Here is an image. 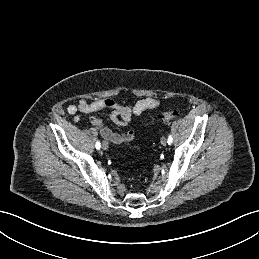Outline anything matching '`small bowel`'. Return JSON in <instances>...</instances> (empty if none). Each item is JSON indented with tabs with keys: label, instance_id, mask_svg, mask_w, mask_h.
I'll list each match as a JSON object with an SVG mask.
<instances>
[{
	"label": "small bowel",
	"instance_id": "1",
	"mask_svg": "<svg viewBox=\"0 0 259 259\" xmlns=\"http://www.w3.org/2000/svg\"><path fill=\"white\" fill-rule=\"evenodd\" d=\"M159 104V101L154 98H145L133 105H123L108 98L98 99L92 102L81 99L77 103L69 105L67 112L77 122L80 119L79 113L87 114L108 109L110 110V119L117 126L124 127L135 117L140 116L148 110L157 108ZM90 123L99 130L105 140L113 144L127 143L134 139V132L132 130H125L122 133L114 132L98 117H91Z\"/></svg>",
	"mask_w": 259,
	"mask_h": 259
}]
</instances>
